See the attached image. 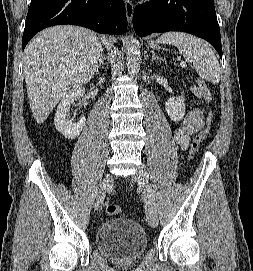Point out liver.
<instances>
[{
	"instance_id": "obj_1",
	"label": "liver",
	"mask_w": 253,
	"mask_h": 271,
	"mask_svg": "<svg viewBox=\"0 0 253 271\" xmlns=\"http://www.w3.org/2000/svg\"><path fill=\"white\" fill-rule=\"evenodd\" d=\"M103 48L83 27L58 25L36 35L24 51V75L30 108L44 123L57 103L94 76Z\"/></svg>"
}]
</instances>
